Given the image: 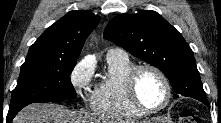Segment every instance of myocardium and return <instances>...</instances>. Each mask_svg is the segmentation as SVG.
<instances>
[{
    "label": "myocardium",
    "mask_w": 221,
    "mask_h": 123,
    "mask_svg": "<svg viewBox=\"0 0 221 123\" xmlns=\"http://www.w3.org/2000/svg\"><path fill=\"white\" fill-rule=\"evenodd\" d=\"M146 70H150L156 73L160 77V79L162 80L165 86V90H166L165 100L160 106L156 108H149L145 106L141 102L137 94V88H136L137 79L139 75L143 71H146ZM125 90H126L127 97L129 101L132 103V105L135 108H137L139 111L143 112L144 114H152V113H157V112L164 110L169 105L171 98H172V87H171V84L167 75L160 68L152 64H143V65L135 66L126 76Z\"/></svg>",
    "instance_id": "myocardium-1"
}]
</instances>
